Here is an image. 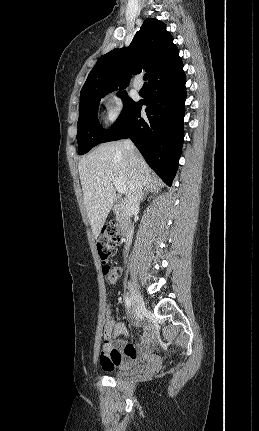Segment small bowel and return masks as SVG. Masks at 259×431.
Returning <instances> with one entry per match:
<instances>
[{"mask_svg":"<svg viewBox=\"0 0 259 431\" xmlns=\"http://www.w3.org/2000/svg\"><path fill=\"white\" fill-rule=\"evenodd\" d=\"M140 327L144 329V334L139 343H126L119 336L126 338L128 336L127 329L116 320L113 303L108 305L104 328L105 344L100 356V364L105 371L113 370L116 367H126L146 356V350L153 342L154 333L146 323H141Z\"/></svg>","mask_w":259,"mask_h":431,"instance_id":"obj_1","label":"small bowel"}]
</instances>
